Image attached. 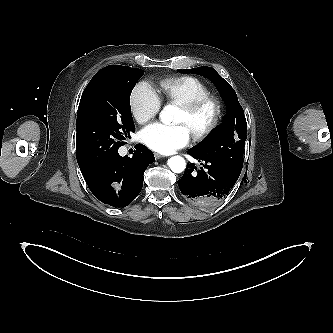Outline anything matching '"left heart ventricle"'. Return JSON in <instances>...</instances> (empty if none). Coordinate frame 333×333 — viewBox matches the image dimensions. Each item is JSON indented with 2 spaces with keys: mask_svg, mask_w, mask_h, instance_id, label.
Segmentation results:
<instances>
[{
  "mask_svg": "<svg viewBox=\"0 0 333 333\" xmlns=\"http://www.w3.org/2000/svg\"><path fill=\"white\" fill-rule=\"evenodd\" d=\"M213 115L214 108L212 106L206 107L192 118H189L182 110H180L176 122L185 125L189 132L192 133L204 129L210 123Z\"/></svg>",
  "mask_w": 333,
  "mask_h": 333,
  "instance_id": "b2bd125f",
  "label": "left heart ventricle"
}]
</instances>
